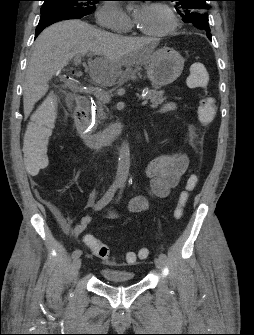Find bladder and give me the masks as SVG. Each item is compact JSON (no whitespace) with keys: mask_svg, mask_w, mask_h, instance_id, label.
Masks as SVG:
<instances>
[{"mask_svg":"<svg viewBox=\"0 0 254 335\" xmlns=\"http://www.w3.org/2000/svg\"><path fill=\"white\" fill-rule=\"evenodd\" d=\"M101 276L109 283H131L135 281V275L132 271L118 268H102Z\"/></svg>","mask_w":254,"mask_h":335,"instance_id":"obj_1","label":"bladder"}]
</instances>
